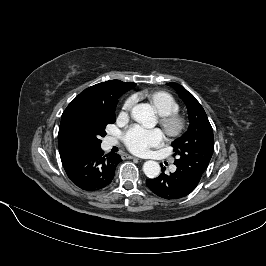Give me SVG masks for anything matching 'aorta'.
Returning <instances> with one entry per match:
<instances>
[{"label": "aorta", "instance_id": "1", "mask_svg": "<svg viewBox=\"0 0 266 266\" xmlns=\"http://www.w3.org/2000/svg\"><path fill=\"white\" fill-rule=\"evenodd\" d=\"M132 118L143 124L145 127L151 128L156 125V117L153 108L146 103L135 105L131 111ZM143 171L149 178H156L160 174L161 168L156 161H146L143 165Z\"/></svg>", "mask_w": 266, "mask_h": 266}]
</instances>
